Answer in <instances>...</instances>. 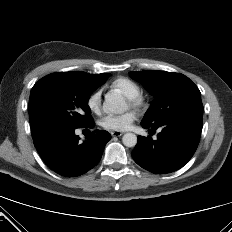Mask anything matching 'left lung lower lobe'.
I'll return each instance as SVG.
<instances>
[{
  "instance_id": "1",
  "label": "left lung lower lobe",
  "mask_w": 232,
  "mask_h": 232,
  "mask_svg": "<svg viewBox=\"0 0 232 232\" xmlns=\"http://www.w3.org/2000/svg\"><path fill=\"white\" fill-rule=\"evenodd\" d=\"M202 123V111L179 114L156 126L142 121V127H161L162 131L157 134L156 140L138 136L132 151L134 161L155 174L170 173L182 168L197 149Z\"/></svg>"
}]
</instances>
